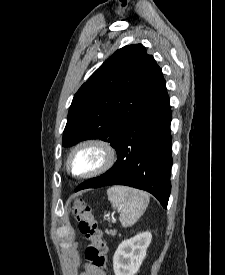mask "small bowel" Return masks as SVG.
<instances>
[{
    "label": "small bowel",
    "instance_id": "obj_1",
    "mask_svg": "<svg viewBox=\"0 0 225 275\" xmlns=\"http://www.w3.org/2000/svg\"><path fill=\"white\" fill-rule=\"evenodd\" d=\"M80 275H105V273L102 270L97 269L90 264H87L84 271H82Z\"/></svg>",
    "mask_w": 225,
    "mask_h": 275
}]
</instances>
